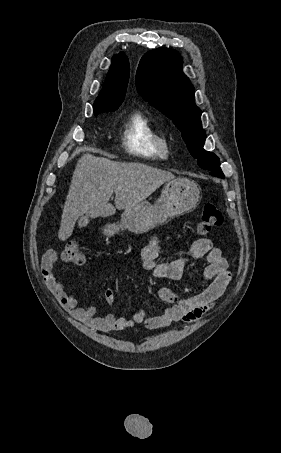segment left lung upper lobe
I'll list each match as a JSON object with an SVG mask.
<instances>
[{
  "mask_svg": "<svg viewBox=\"0 0 281 453\" xmlns=\"http://www.w3.org/2000/svg\"><path fill=\"white\" fill-rule=\"evenodd\" d=\"M136 87L145 101L172 119L197 164L211 174L222 175L219 158L203 149L206 133L201 111L195 105L193 85L182 72L179 53L168 48L147 52L138 66Z\"/></svg>",
  "mask_w": 281,
  "mask_h": 453,
  "instance_id": "1",
  "label": "left lung upper lobe"
}]
</instances>
